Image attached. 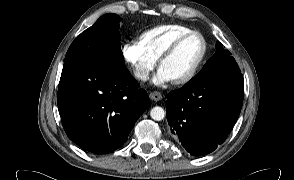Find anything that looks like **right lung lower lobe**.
Segmentation results:
<instances>
[{
  "instance_id": "98d812e1",
  "label": "right lung lower lobe",
  "mask_w": 294,
  "mask_h": 180,
  "mask_svg": "<svg viewBox=\"0 0 294 180\" xmlns=\"http://www.w3.org/2000/svg\"><path fill=\"white\" fill-rule=\"evenodd\" d=\"M57 103L69 139L95 154L121 147L150 106L147 92L126 68L101 64L62 73Z\"/></svg>"
}]
</instances>
